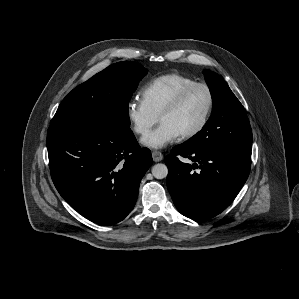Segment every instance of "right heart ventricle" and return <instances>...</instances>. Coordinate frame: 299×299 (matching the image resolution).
<instances>
[{
	"label": "right heart ventricle",
	"mask_w": 299,
	"mask_h": 299,
	"mask_svg": "<svg viewBox=\"0 0 299 299\" xmlns=\"http://www.w3.org/2000/svg\"><path fill=\"white\" fill-rule=\"evenodd\" d=\"M189 76L177 73L161 75L150 81L141 91L142 101L158 117L163 108L184 87L194 83Z\"/></svg>",
	"instance_id": "right-heart-ventricle-1"
}]
</instances>
